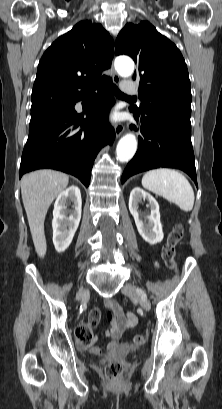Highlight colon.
Wrapping results in <instances>:
<instances>
[{
  "mask_svg": "<svg viewBox=\"0 0 222 409\" xmlns=\"http://www.w3.org/2000/svg\"><path fill=\"white\" fill-rule=\"evenodd\" d=\"M183 234L184 229L182 225L178 224L174 226L162 248V258L166 266L172 270L177 269V263L175 260L176 246L183 238ZM107 318L109 321L112 320V312L110 310L107 313ZM76 338L80 344L87 345L92 342L93 332L87 323H82L77 327ZM134 342L136 344H142L144 342V337L142 335H136L134 337ZM105 371L110 382L118 383L123 380V366L120 362H109L105 367Z\"/></svg>",
  "mask_w": 222,
  "mask_h": 409,
  "instance_id": "obj_1",
  "label": "colon"
}]
</instances>
